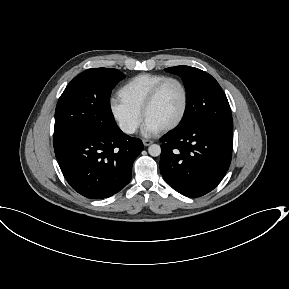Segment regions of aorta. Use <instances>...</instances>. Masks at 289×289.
Here are the masks:
<instances>
[{"instance_id":"obj_1","label":"aorta","mask_w":289,"mask_h":289,"mask_svg":"<svg viewBox=\"0 0 289 289\" xmlns=\"http://www.w3.org/2000/svg\"><path fill=\"white\" fill-rule=\"evenodd\" d=\"M148 152L151 156L157 157L161 154V147L158 144H152L149 146Z\"/></svg>"}]
</instances>
